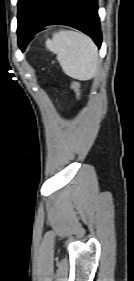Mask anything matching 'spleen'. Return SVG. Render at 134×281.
<instances>
[{"label": "spleen", "mask_w": 134, "mask_h": 281, "mask_svg": "<svg viewBox=\"0 0 134 281\" xmlns=\"http://www.w3.org/2000/svg\"><path fill=\"white\" fill-rule=\"evenodd\" d=\"M46 48L57 54V60L64 73L74 79H92L98 67V51L87 35L61 30L52 39L46 40Z\"/></svg>", "instance_id": "obj_1"}]
</instances>
